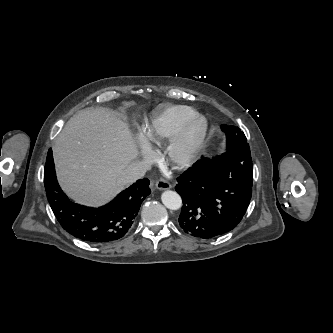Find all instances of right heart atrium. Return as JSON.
<instances>
[{"label":"right heart atrium","instance_id":"right-heart-atrium-1","mask_svg":"<svg viewBox=\"0 0 333 333\" xmlns=\"http://www.w3.org/2000/svg\"><path fill=\"white\" fill-rule=\"evenodd\" d=\"M143 152L146 156H150L151 155V150L149 149L148 146H144L143 147Z\"/></svg>","mask_w":333,"mask_h":333}]
</instances>
